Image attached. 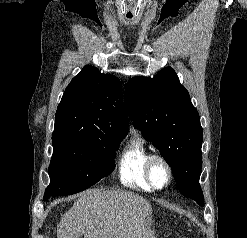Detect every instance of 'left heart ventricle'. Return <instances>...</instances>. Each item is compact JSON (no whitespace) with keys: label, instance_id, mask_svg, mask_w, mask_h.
<instances>
[{"label":"left heart ventricle","instance_id":"obj_1","mask_svg":"<svg viewBox=\"0 0 247 238\" xmlns=\"http://www.w3.org/2000/svg\"><path fill=\"white\" fill-rule=\"evenodd\" d=\"M152 176L156 184L162 185L166 182L168 173L161 163H155L152 168Z\"/></svg>","mask_w":247,"mask_h":238}]
</instances>
